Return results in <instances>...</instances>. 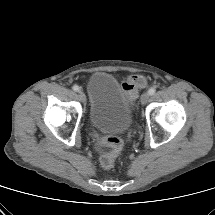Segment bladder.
<instances>
[{"label":"bladder","mask_w":215,"mask_h":215,"mask_svg":"<svg viewBox=\"0 0 215 215\" xmlns=\"http://www.w3.org/2000/svg\"><path fill=\"white\" fill-rule=\"evenodd\" d=\"M89 120L103 133L126 132L133 121L131 103L118 80L107 72H96L88 81Z\"/></svg>","instance_id":"31cf9c89"}]
</instances>
